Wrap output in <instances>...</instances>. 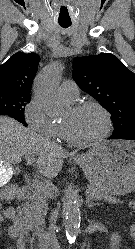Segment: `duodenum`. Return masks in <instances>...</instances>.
<instances>
[{
    "mask_svg": "<svg viewBox=\"0 0 135 249\" xmlns=\"http://www.w3.org/2000/svg\"><path fill=\"white\" fill-rule=\"evenodd\" d=\"M2 196L5 199L10 200V201H14V200L29 201L33 198V191L30 187H26V186H20L16 188H7L4 190ZM42 243L43 242L40 239V236H38L36 245L40 246Z\"/></svg>",
    "mask_w": 135,
    "mask_h": 249,
    "instance_id": "duodenum-1",
    "label": "duodenum"
}]
</instances>
